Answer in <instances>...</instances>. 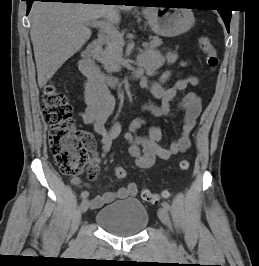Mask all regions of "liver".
I'll use <instances>...</instances> for the list:
<instances>
[{
  "instance_id": "1",
  "label": "liver",
  "mask_w": 259,
  "mask_h": 266,
  "mask_svg": "<svg viewBox=\"0 0 259 266\" xmlns=\"http://www.w3.org/2000/svg\"><path fill=\"white\" fill-rule=\"evenodd\" d=\"M132 6L34 2L30 12V38L33 44L38 85L43 88L55 72L91 37L89 23L105 18L120 21L119 11Z\"/></svg>"
}]
</instances>
